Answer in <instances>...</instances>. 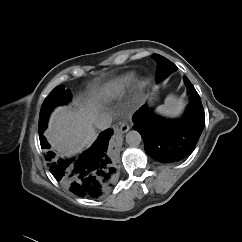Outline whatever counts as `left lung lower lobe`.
<instances>
[{"label": "left lung lower lobe", "mask_w": 242, "mask_h": 242, "mask_svg": "<svg viewBox=\"0 0 242 242\" xmlns=\"http://www.w3.org/2000/svg\"><path fill=\"white\" fill-rule=\"evenodd\" d=\"M184 82L191 95L190 104L179 120L159 117L146 106L134 115L133 129L137 130L144 141L145 152L161 163H174L188 156L203 131L205 114L200 96L184 76Z\"/></svg>", "instance_id": "1"}]
</instances>
